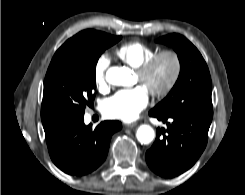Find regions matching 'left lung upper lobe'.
<instances>
[{"mask_svg": "<svg viewBox=\"0 0 245 195\" xmlns=\"http://www.w3.org/2000/svg\"><path fill=\"white\" fill-rule=\"evenodd\" d=\"M173 47L181 65L174 87L152 110L160 114L180 113L213 116L209 69L197 48L180 34H169L157 40Z\"/></svg>", "mask_w": 245, "mask_h": 195, "instance_id": "5c2ea615", "label": "left lung upper lobe"}]
</instances>
